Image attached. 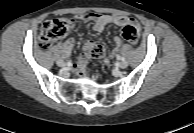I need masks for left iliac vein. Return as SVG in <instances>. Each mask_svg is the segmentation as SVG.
Listing matches in <instances>:
<instances>
[{"instance_id": "1", "label": "left iliac vein", "mask_w": 194, "mask_h": 133, "mask_svg": "<svg viewBox=\"0 0 194 133\" xmlns=\"http://www.w3.org/2000/svg\"><path fill=\"white\" fill-rule=\"evenodd\" d=\"M127 66H128V62L127 61H121L119 64H118V67L120 68V69H125V68H127Z\"/></svg>"}]
</instances>
